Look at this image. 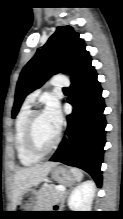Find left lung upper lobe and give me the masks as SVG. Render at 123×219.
Wrapping results in <instances>:
<instances>
[{
  "label": "left lung upper lobe",
  "mask_w": 123,
  "mask_h": 219,
  "mask_svg": "<svg viewBox=\"0 0 123 219\" xmlns=\"http://www.w3.org/2000/svg\"><path fill=\"white\" fill-rule=\"evenodd\" d=\"M85 47L84 41L71 26L58 27L23 68L17 82L12 117L17 115L24 98L52 75L69 71L74 76L78 68L90 58Z\"/></svg>",
  "instance_id": "obj_1"
}]
</instances>
